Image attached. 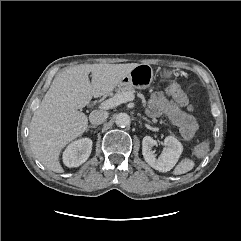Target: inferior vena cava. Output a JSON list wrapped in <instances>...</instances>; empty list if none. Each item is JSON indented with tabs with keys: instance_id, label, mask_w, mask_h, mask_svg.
I'll return each mask as SVG.
<instances>
[{
	"instance_id": "602c4592",
	"label": "inferior vena cava",
	"mask_w": 241,
	"mask_h": 241,
	"mask_svg": "<svg viewBox=\"0 0 241 241\" xmlns=\"http://www.w3.org/2000/svg\"><path fill=\"white\" fill-rule=\"evenodd\" d=\"M108 113L103 110H94L89 115V120L93 125H100L106 121Z\"/></svg>"
}]
</instances>
